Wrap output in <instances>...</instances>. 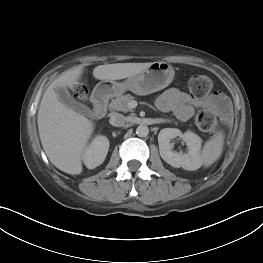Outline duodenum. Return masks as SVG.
Masks as SVG:
<instances>
[{
    "instance_id": "obj_1",
    "label": "duodenum",
    "mask_w": 263,
    "mask_h": 263,
    "mask_svg": "<svg viewBox=\"0 0 263 263\" xmlns=\"http://www.w3.org/2000/svg\"><path fill=\"white\" fill-rule=\"evenodd\" d=\"M108 91L105 88H99L93 96V112L96 117H103L108 107Z\"/></svg>"
}]
</instances>
